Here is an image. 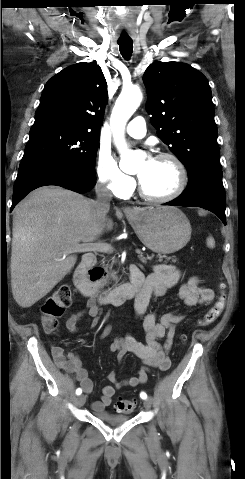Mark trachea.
Instances as JSON below:
<instances>
[{
  "instance_id": "trachea-1",
  "label": "trachea",
  "mask_w": 245,
  "mask_h": 479,
  "mask_svg": "<svg viewBox=\"0 0 245 479\" xmlns=\"http://www.w3.org/2000/svg\"><path fill=\"white\" fill-rule=\"evenodd\" d=\"M119 50L121 55L129 59L133 51V41L132 40H119L118 41Z\"/></svg>"
}]
</instances>
